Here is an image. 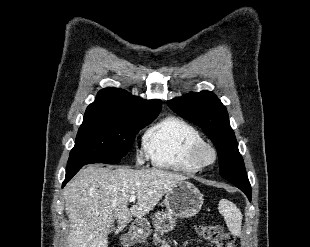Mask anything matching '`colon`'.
Wrapping results in <instances>:
<instances>
[{
  "mask_svg": "<svg viewBox=\"0 0 310 247\" xmlns=\"http://www.w3.org/2000/svg\"><path fill=\"white\" fill-rule=\"evenodd\" d=\"M198 233L215 247H235L234 237L226 232L221 225L199 226Z\"/></svg>",
  "mask_w": 310,
  "mask_h": 247,
  "instance_id": "colon-1",
  "label": "colon"
}]
</instances>
